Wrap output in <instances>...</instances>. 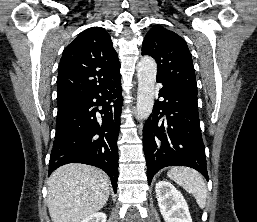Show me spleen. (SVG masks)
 <instances>
[{
	"label": "spleen",
	"instance_id": "obj_1",
	"mask_svg": "<svg viewBox=\"0 0 257 222\" xmlns=\"http://www.w3.org/2000/svg\"><path fill=\"white\" fill-rule=\"evenodd\" d=\"M167 175L188 193H191L200 208L205 207L207 189L202 176L196 170L187 167H173L167 172Z\"/></svg>",
	"mask_w": 257,
	"mask_h": 222
}]
</instances>
